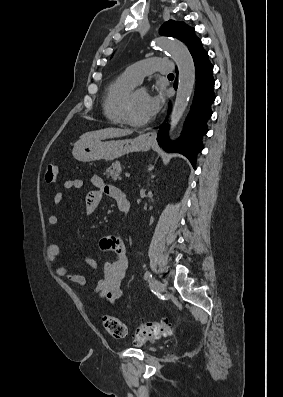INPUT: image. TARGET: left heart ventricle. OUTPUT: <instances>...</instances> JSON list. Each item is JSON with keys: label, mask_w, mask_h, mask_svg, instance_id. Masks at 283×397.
Here are the masks:
<instances>
[{"label": "left heart ventricle", "mask_w": 283, "mask_h": 397, "mask_svg": "<svg viewBox=\"0 0 283 397\" xmlns=\"http://www.w3.org/2000/svg\"><path fill=\"white\" fill-rule=\"evenodd\" d=\"M147 93L143 90H137L133 95L132 113L136 120H145L150 118L146 111Z\"/></svg>", "instance_id": "left-heart-ventricle-1"}]
</instances>
